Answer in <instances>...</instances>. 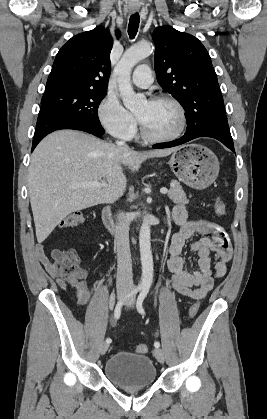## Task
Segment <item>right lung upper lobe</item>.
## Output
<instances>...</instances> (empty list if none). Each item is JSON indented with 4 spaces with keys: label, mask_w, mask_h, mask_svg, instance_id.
Here are the masks:
<instances>
[{
    "label": "right lung upper lobe",
    "mask_w": 267,
    "mask_h": 419,
    "mask_svg": "<svg viewBox=\"0 0 267 419\" xmlns=\"http://www.w3.org/2000/svg\"><path fill=\"white\" fill-rule=\"evenodd\" d=\"M112 45L109 30L102 26L73 36L56 55L45 92L107 90Z\"/></svg>",
    "instance_id": "cb5924a9"
}]
</instances>
